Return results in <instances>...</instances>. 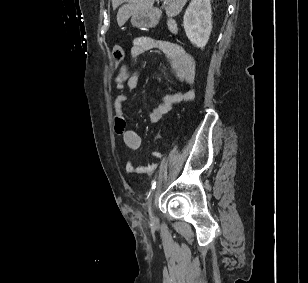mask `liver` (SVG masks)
I'll list each match as a JSON object with an SVG mask.
<instances>
[{
	"label": "liver",
	"instance_id": "obj_1",
	"mask_svg": "<svg viewBox=\"0 0 308 283\" xmlns=\"http://www.w3.org/2000/svg\"><path fill=\"white\" fill-rule=\"evenodd\" d=\"M155 0H112L113 8L118 7L122 3L117 13V23L121 27L134 14L147 12L153 7ZM188 0H164L163 8L168 16L178 15Z\"/></svg>",
	"mask_w": 308,
	"mask_h": 283
}]
</instances>
